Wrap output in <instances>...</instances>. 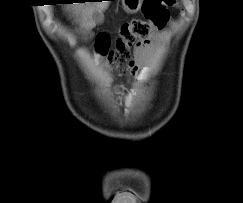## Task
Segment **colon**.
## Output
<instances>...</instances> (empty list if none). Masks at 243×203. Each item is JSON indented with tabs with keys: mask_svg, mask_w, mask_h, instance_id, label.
Listing matches in <instances>:
<instances>
[{
	"mask_svg": "<svg viewBox=\"0 0 243 203\" xmlns=\"http://www.w3.org/2000/svg\"><path fill=\"white\" fill-rule=\"evenodd\" d=\"M179 6V0H145L142 6V19H133L123 23L111 49V40L106 33L97 38V53L106 58L112 66L129 64L131 49L146 39L154 30L164 28L168 20V9Z\"/></svg>",
	"mask_w": 243,
	"mask_h": 203,
	"instance_id": "colon-1",
	"label": "colon"
}]
</instances>
